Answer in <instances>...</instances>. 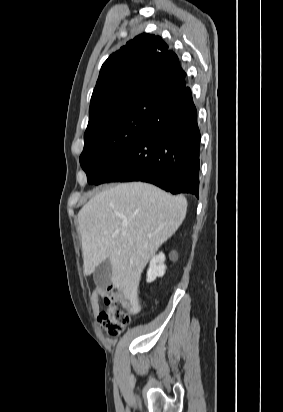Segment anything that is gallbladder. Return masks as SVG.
<instances>
[{"mask_svg":"<svg viewBox=\"0 0 283 412\" xmlns=\"http://www.w3.org/2000/svg\"><path fill=\"white\" fill-rule=\"evenodd\" d=\"M111 278L112 265L110 260L107 258L95 268L93 272V279L98 287L105 288L110 284Z\"/></svg>","mask_w":283,"mask_h":412,"instance_id":"bac80fb5","label":"gallbladder"}]
</instances>
